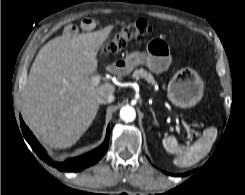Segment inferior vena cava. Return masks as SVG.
<instances>
[{
    "mask_svg": "<svg viewBox=\"0 0 245 195\" xmlns=\"http://www.w3.org/2000/svg\"><path fill=\"white\" fill-rule=\"evenodd\" d=\"M114 101V96L112 94H102L98 97V104H107Z\"/></svg>",
    "mask_w": 245,
    "mask_h": 195,
    "instance_id": "inferior-vena-cava-1",
    "label": "inferior vena cava"
}]
</instances>
